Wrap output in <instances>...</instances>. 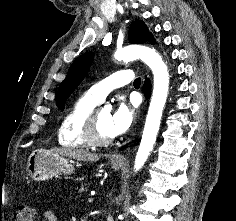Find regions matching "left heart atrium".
Listing matches in <instances>:
<instances>
[{"mask_svg":"<svg viewBox=\"0 0 236 221\" xmlns=\"http://www.w3.org/2000/svg\"><path fill=\"white\" fill-rule=\"evenodd\" d=\"M135 119V107L125 102H120L115 111L110 115L109 130L112 137L126 132Z\"/></svg>","mask_w":236,"mask_h":221,"instance_id":"left-heart-atrium-1","label":"left heart atrium"}]
</instances>
